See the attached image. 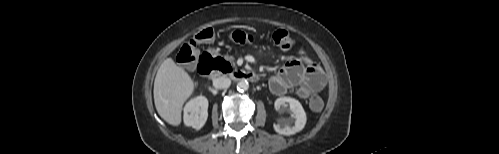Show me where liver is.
Returning <instances> with one entry per match:
<instances>
[{"instance_id": "obj_1", "label": "liver", "mask_w": 499, "mask_h": 154, "mask_svg": "<svg viewBox=\"0 0 499 154\" xmlns=\"http://www.w3.org/2000/svg\"><path fill=\"white\" fill-rule=\"evenodd\" d=\"M194 89L195 84L190 75L171 58L165 59L157 71L153 91L160 117L170 125H180L183 104Z\"/></svg>"}]
</instances>
